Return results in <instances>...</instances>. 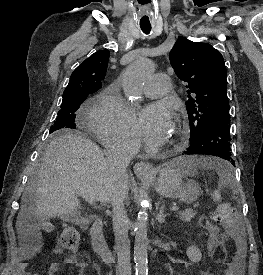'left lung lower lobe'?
<instances>
[{
    "mask_svg": "<svg viewBox=\"0 0 263 275\" xmlns=\"http://www.w3.org/2000/svg\"><path fill=\"white\" fill-rule=\"evenodd\" d=\"M230 141V119L217 120L199 137L190 141V146L183 154L213 155L226 159L235 165L231 156Z\"/></svg>",
    "mask_w": 263,
    "mask_h": 275,
    "instance_id": "0a47b994",
    "label": "left lung lower lobe"
}]
</instances>
